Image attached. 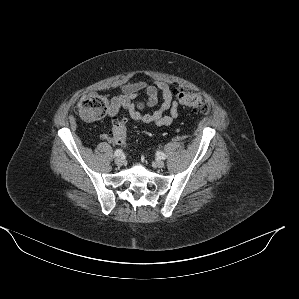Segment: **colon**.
Wrapping results in <instances>:
<instances>
[{
	"label": "colon",
	"instance_id": "1",
	"mask_svg": "<svg viewBox=\"0 0 299 299\" xmlns=\"http://www.w3.org/2000/svg\"><path fill=\"white\" fill-rule=\"evenodd\" d=\"M178 101L195 111L208 112L209 107L205 97L196 92L183 91L177 95ZM108 100L105 96L96 93L83 94L77 103V113L86 121H96L103 118L108 112ZM114 138L124 144L126 126L123 121H115L112 128Z\"/></svg>",
	"mask_w": 299,
	"mask_h": 299
}]
</instances>
